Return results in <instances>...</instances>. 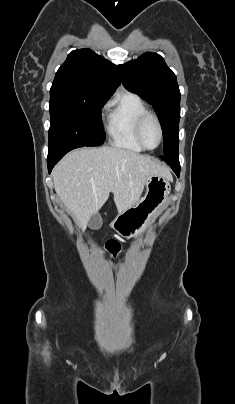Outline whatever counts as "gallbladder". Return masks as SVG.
Returning a JSON list of instances; mask_svg holds the SVG:
<instances>
[{
    "label": "gallbladder",
    "instance_id": "bac80fb5",
    "mask_svg": "<svg viewBox=\"0 0 235 404\" xmlns=\"http://www.w3.org/2000/svg\"><path fill=\"white\" fill-rule=\"evenodd\" d=\"M88 226L91 229L97 230L102 226V218L99 214H93L88 222Z\"/></svg>",
    "mask_w": 235,
    "mask_h": 404
}]
</instances>
